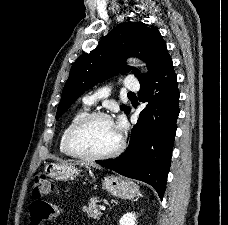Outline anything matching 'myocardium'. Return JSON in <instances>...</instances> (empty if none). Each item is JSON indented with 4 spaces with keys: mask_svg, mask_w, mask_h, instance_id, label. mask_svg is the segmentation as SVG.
I'll list each match as a JSON object with an SVG mask.
<instances>
[{
    "mask_svg": "<svg viewBox=\"0 0 228 225\" xmlns=\"http://www.w3.org/2000/svg\"><path fill=\"white\" fill-rule=\"evenodd\" d=\"M96 119H104L113 123L112 118L103 112H89L79 118L74 125L71 127L68 137H67V146L69 151L76 157L89 159V160H102L114 157L118 155L125 147V140L121 134H119V143L118 145L105 153L102 154H92L81 150L76 143V139L80 131L87 126L90 122Z\"/></svg>",
    "mask_w": 228,
    "mask_h": 225,
    "instance_id": "myocardium-1",
    "label": "myocardium"
}]
</instances>
